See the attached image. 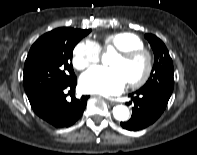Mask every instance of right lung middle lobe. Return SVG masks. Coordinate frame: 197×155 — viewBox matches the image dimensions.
I'll list each match as a JSON object with an SVG mask.
<instances>
[{"label":"right lung middle lobe","mask_w":197,"mask_h":155,"mask_svg":"<svg viewBox=\"0 0 197 155\" xmlns=\"http://www.w3.org/2000/svg\"><path fill=\"white\" fill-rule=\"evenodd\" d=\"M90 31L62 27L36 40L24 65L23 82L30 102L75 78L72 67L73 49Z\"/></svg>","instance_id":"dd1d6c3e"}]
</instances>
